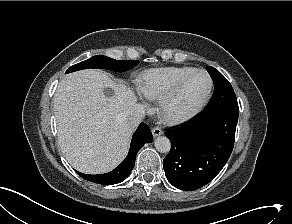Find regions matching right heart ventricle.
I'll use <instances>...</instances> for the list:
<instances>
[{
    "instance_id": "right-heart-ventricle-1",
    "label": "right heart ventricle",
    "mask_w": 292,
    "mask_h": 224,
    "mask_svg": "<svg viewBox=\"0 0 292 224\" xmlns=\"http://www.w3.org/2000/svg\"><path fill=\"white\" fill-rule=\"evenodd\" d=\"M195 70L194 67H164L150 69L138 78V89L142 95L152 101L160 100L184 75Z\"/></svg>"
}]
</instances>
